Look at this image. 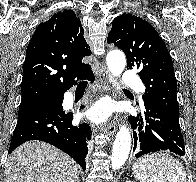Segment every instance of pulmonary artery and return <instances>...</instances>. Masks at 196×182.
Listing matches in <instances>:
<instances>
[{"label": "pulmonary artery", "instance_id": "e3ab8cb5", "mask_svg": "<svg viewBox=\"0 0 196 182\" xmlns=\"http://www.w3.org/2000/svg\"><path fill=\"white\" fill-rule=\"evenodd\" d=\"M122 83L124 85H128V86H135L139 93L142 92V89L139 87V78H138V76L135 73L131 72V71H126L123 74Z\"/></svg>", "mask_w": 196, "mask_h": 182}]
</instances>
